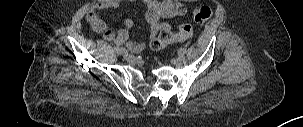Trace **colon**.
I'll list each match as a JSON object with an SVG mask.
<instances>
[{
  "mask_svg": "<svg viewBox=\"0 0 303 127\" xmlns=\"http://www.w3.org/2000/svg\"><path fill=\"white\" fill-rule=\"evenodd\" d=\"M212 16V9L208 6H198L193 10V18L197 23H203ZM192 35V27L189 24H182L176 34L168 30H162L150 42L153 50H160L173 42H180L190 38Z\"/></svg>",
  "mask_w": 303,
  "mask_h": 127,
  "instance_id": "5ec220e1",
  "label": "colon"
}]
</instances>
